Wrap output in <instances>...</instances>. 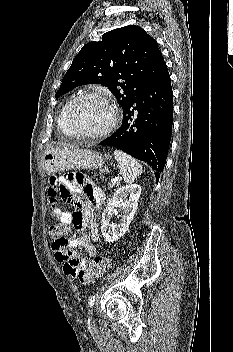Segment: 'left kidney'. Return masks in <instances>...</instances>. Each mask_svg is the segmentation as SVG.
<instances>
[{
  "label": "left kidney",
  "mask_w": 233,
  "mask_h": 352,
  "mask_svg": "<svg viewBox=\"0 0 233 352\" xmlns=\"http://www.w3.org/2000/svg\"><path fill=\"white\" fill-rule=\"evenodd\" d=\"M140 194L141 186L138 184L122 186L114 193L102 213L101 232L106 242H114L125 234L136 213ZM116 207H122L123 213L118 224H111Z\"/></svg>",
  "instance_id": "obj_1"
}]
</instances>
